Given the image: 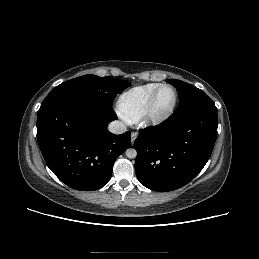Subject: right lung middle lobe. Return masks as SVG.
Returning <instances> with one entry per match:
<instances>
[{
	"instance_id": "1",
	"label": "right lung middle lobe",
	"mask_w": 259,
	"mask_h": 259,
	"mask_svg": "<svg viewBox=\"0 0 259 259\" xmlns=\"http://www.w3.org/2000/svg\"><path fill=\"white\" fill-rule=\"evenodd\" d=\"M130 85L129 82L111 77L84 75L63 82L52 89L42 102L41 107L58 99L76 97L111 108L116 95Z\"/></svg>"
}]
</instances>
